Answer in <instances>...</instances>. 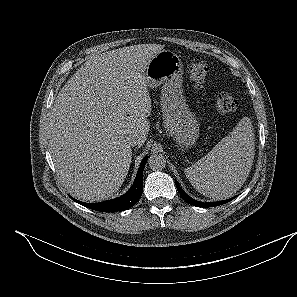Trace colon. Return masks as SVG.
Wrapping results in <instances>:
<instances>
[{"label": "colon", "mask_w": 297, "mask_h": 297, "mask_svg": "<svg viewBox=\"0 0 297 297\" xmlns=\"http://www.w3.org/2000/svg\"><path fill=\"white\" fill-rule=\"evenodd\" d=\"M209 70L210 65L207 61H197L189 67V75L195 89L202 88ZM214 106L219 113H231L237 109V100L229 93H220L215 98Z\"/></svg>", "instance_id": "5ec220e1"}]
</instances>
